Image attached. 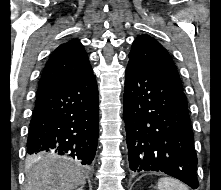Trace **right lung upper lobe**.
Masks as SVG:
<instances>
[{
	"label": "right lung upper lobe",
	"instance_id": "1",
	"mask_svg": "<svg viewBox=\"0 0 221 190\" xmlns=\"http://www.w3.org/2000/svg\"><path fill=\"white\" fill-rule=\"evenodd\" d=\"M92 74L83 45L76 39L51 54L39 81L37 95Z\"/></svg>",
	"mask_w": 221,
	"mask_h": 190
}]
</instances>
